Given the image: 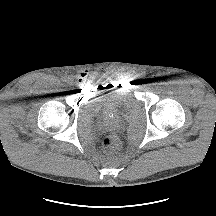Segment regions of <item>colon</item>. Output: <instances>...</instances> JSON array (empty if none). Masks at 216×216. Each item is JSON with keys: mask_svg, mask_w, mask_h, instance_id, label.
I'll list each match as a JSON object with an SVG mask.
<instances>
[{"mask_svg": "<svg viewBox=\"0 0 216 216\" xmlns=\"http://www.w3.org/2000/svg\"><path fill=\"white\" fill-rule=\"evenodd\" d=\"M103 146L106 149H116L120 146V139L116 134L110 133L104 137Z\"/></svg>", "mask_w": 216, "mask_h": 216, "instance_id": "colon-1", "label": "colon"}]
</instances>
